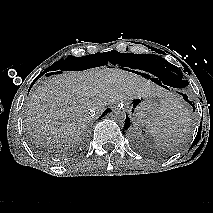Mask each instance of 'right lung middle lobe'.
<instances>
[{"mask_svg": "<svg viewBox=\"0 0 213 213\" xmlns=\"http://www.w3.org/2000/svg\"><path fill=\"white\" fill-rule=\"evenodd\" d=\"M126 56V53H119L115 50L105 53H96L79 58L68 56L66 60L61 59L60 61L55 62L53 65L48 67L45 72H54L58 70H85L96 66L107 65L108 63L123 65V63L121 64V62H123Z\"/></svg>", "mask_w": 213, "mask_h": 213, "instance_id": "dd1d6c3e", "label": "right lung middle lobe"}]
</instances>
